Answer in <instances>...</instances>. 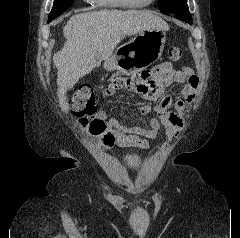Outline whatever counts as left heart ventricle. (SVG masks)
<instances>
[{"label":"left heart ventricle","instance_id":"left-heart-ventricle-1","mask_svg":"<svg viewBox=\"0 0 240 238\" xmlns=\"http://www.w3.org/2000/svg\"><path fill=\"white\" fill-rule=\"evenodd\" d=\"M130 1L146 2V1H148V0H130Z\"/></svg>","mask_w":240,"mask_h":238}]
</instances>
